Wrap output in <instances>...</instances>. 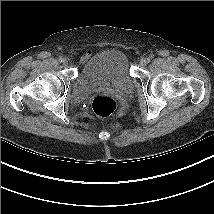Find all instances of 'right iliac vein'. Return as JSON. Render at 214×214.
<instances>
[{
    "instance_id": "obj_1",
    "label": "right iliac vein",
    "mask_w": 214,
    "mask_h": 214,
    "mask_svg": "<svg viewBox=\"0 0 214 214\" xmlns=\"http://www.w3.org/2000/svg\"><path fill=\"white\" fill-rule=\"evenodd\" d=\"M63 64L67 65L68 64V59L65 58L64 61H63Z\"/></svg>"
}]
</instances>
